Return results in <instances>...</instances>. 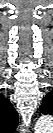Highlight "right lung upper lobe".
<instances>
[{"mask_svg":"<svg viewBox=\"0 0 53 133\" xmlns=\"http://www.w3.org/2000/svg\"><path fill=\"white\" fill-rule=\"evenodd\" d=\"M18 114L10 101L0 95V128L6 133L15 132L18 126Z\"/></svg>","mask_w":53,"mask_h":133,"instance_id":"1","label":"right lung upper lobe"}]
</instances>
